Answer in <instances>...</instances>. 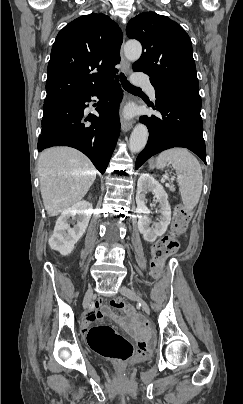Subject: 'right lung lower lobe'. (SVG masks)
<instances>
[{
    "instance_id": "1",
    "label": "right lung lower lobe",
    "mask_w": 243,
    "mask_h": 404,
    "mask_svg": "<svg viewBox=\"0 0 243 404\" xmlns=\"http://www.w3.org/2000/svg\"><path fill=\"white\" fill-rule=\"evenodd\" d=\"M101 93L106 96L97 108L99 117H85V103L90 101L91 96ZM122 96L123 91L116 78L90 93L44 105L38 151L52 146L74 147L88 156L103 174L120 133L117 111ZM87 121L91 125L85 123Z\"/></svg>"
}]
</instances>
